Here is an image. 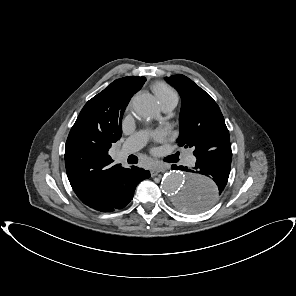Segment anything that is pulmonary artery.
<instances>
[{
  "mask_svg": "<svg viewBox=\"0 0 296 296\" xmlns=\"http://www.w3.org/2000/svg\"><path fill=\"white\" fill-rule=\"evenodd\" d=\"M177 105V99H172L161 104V109L164 112L172 111ZM148 133L146 131H139L129 136L120 150V156L125 157L129 153H133L141 149L147 141ZM185 164L192 166L196 162V157L192 152H188L184 159Z\"/></svg>",
  "mask_w": 296,
  "mask_h": 296,
  "instance_id": "1",
  "label": "pulmonary artery"
}]
</instances>
